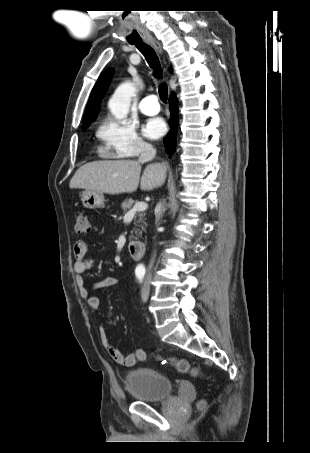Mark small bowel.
Masks as SVG:
<instances>
[{
    "label": "small bowel",
    "instance_id": "small-bowel-1",
    "mask_svg": "<svg viewBox=\"0 0 310 453\" xmlns=\"http://www.w3.org/2000/svg\"><path fill=\"white\" fill-rule=\"evenodd\" d=\"M88 253L89 248L85 241L79 240L75 243L73 249V270L76 276V284L78 286L80 296L87 300L88 305L93 310H98L101 305L100 299L96 296H92L91 292L105 288H112L116 286L117 279L112 276H107L95 281L89 288L86 287L84 273L92 266V259L89 257ZM98 334L105 351L116 363L125 367H132L138 362L146 359V353L143 349H136L134 352L129 354L122 353L110 342L104 327H99Z\"/></svg>",
    "mask_w": 310,
    "mask_h": 453
}]
</instances>
